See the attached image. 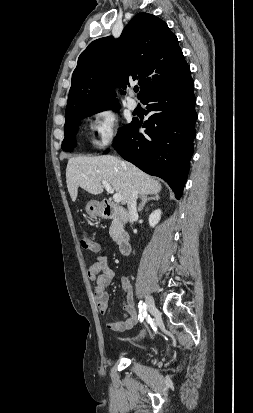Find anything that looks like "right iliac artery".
<instances>
[{
    "label": "right iliac artery",
    "instance_id": "82829eb1",
    "mask_svg": "<svg viewBox=\"0 0 253 413\" xmlns=\"http://www.w3.org/2000/svg\"><path fill=\"white\" fill-rule=\"evenodd\" d=\"M138 307H139V315H138V317H139V319H140V322H142V321L144 320V317H145L146 314H147L146 304H145L144 302L140 301Z\"/></svg>",
    "mask_w": 253,
    "mask_h": 413
}]
</instances>
